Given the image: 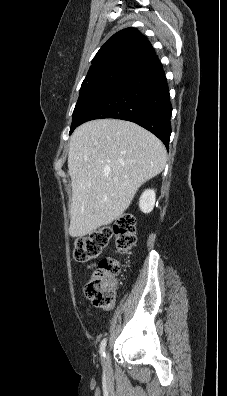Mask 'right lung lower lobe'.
<instances>
[{"label": "right lung lower lobe", "mask_w": 227, "mask_h": 396, "mask_svg": "<svg viewBox=\"0 0 227 396\" xmlns=\"http://www.w3.org/2000/svg\"><path fill=\"white\" fill-rule=\"evenodd\" d=\"M172 106L167 80L157 56L132 71L96 104L82 123L102 118L134 122L156 135L168 148Z\"/></svg>", "instance_id": "obj_1"}]
</instances>
